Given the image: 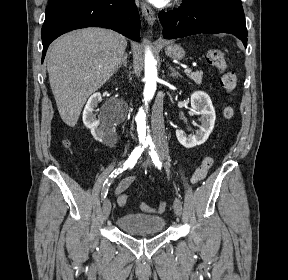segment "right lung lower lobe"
I'll use <instances>...</instances> for the list:
<instances>
[{"label": "right lung lower lobe", "instance_id": "1", "mask_svg": "<svg viewBox=\"0 0 288 280\" xmlns=\"http://www.w3.org/2000/svg\"><path fill=\"white\" fill-rule=\"evenodd\" d=\"M91 26L109 28L140 41V17L132 0H49L42 26V62L57 37Z\"/></svg>", "mask_w": 288, "mask_h": 280}]
</instances>
